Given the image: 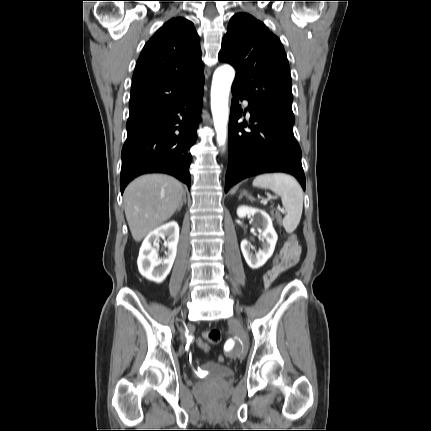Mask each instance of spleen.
I'll use <instances>...</instances> for the list:
<instances>
[{"instance_id": "3e777b00", "label": "spleen", "mask_w": 431, "mask_h": 431, "mask_svg": "<svg viewBox=\"0 0 431 431\" xmlns=\"http://www.w3.org/2000/svg\"><path fill=\"white\" fill-rule=\"evenodd\" d=\"M253 186L270 189L281 196L286 210L282 224L287 233L294 232L303 210V191L297 180L284 173L262 174L253 180Z\"/></svg>"}]
</instances>
